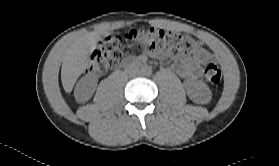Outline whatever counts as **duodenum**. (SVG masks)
I'll return each mask as SVG.
<instances>
[{
	"label": "duodenum",
	"instance_id": "410a0bca",
	"mask_svg": "<svg viewBox=\"0 0 279 166\" xmlns=\"http://www.w3.org/2000/svg\"><path fill=\"white\" fill-rule=\"evenodd\" d=\"M140 64V61L134 60L132 58H125L121 61L120 66L123 68H131Z\"/></svg>",
	"mask_w": 279,
	"mask_h": 166
}]
</instances>
